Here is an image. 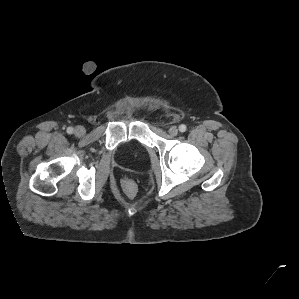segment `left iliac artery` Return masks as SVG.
<instances>
[{
    "label": "left iliac artery",
    "instance_id": "obj_1",
    "mask_svg": "<svg viewBox=\"0 0 299 299\" xmlns=\"http://www.w3.org/2000/svg\"><path fill=\"white\" fill-rule=\"evenodd\" d=\"M186 129H187V127H186V125H184V124H181V125L179 126V130H180V132H185Z\"/></svg>",
    "mask_w": 299,
    "mask_h": 299
}]
</instances>
